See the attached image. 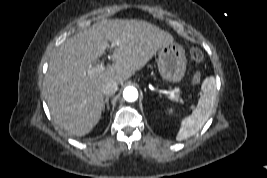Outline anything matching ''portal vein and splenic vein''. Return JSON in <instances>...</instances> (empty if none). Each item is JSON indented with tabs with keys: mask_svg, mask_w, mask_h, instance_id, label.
Wrapping results in <instances>:
<instances>
[{
	"mask_svg": "<svg viewBox=\"0 0 267 178\" xmlns=\"http://www.w3.org/2000/svg\"><path fill=\"white\" fill-rule=\"evenodd\" d=\"M116 45H118V42L113 43L111 45V48L115 47ZM104 69H105V67H104V60H103L95 68L89 67L88 68V74H93L94 72L103 71ZM176 92H177L176 90H170L169 91L171 98H174Z\"/></svg>",
	"mask_w": 267,
	"mask_h": 178,
	"instance_id": "18ae733b",
	"label": "portal vein and splenic vein"
}]
</instances>
